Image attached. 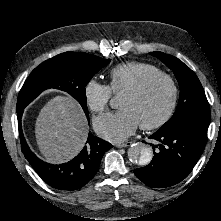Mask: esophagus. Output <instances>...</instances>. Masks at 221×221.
<instances>
[{
	"label": "esophagus",
	"instance_id": "1",
	"mask_svg": "<svg viewBox=\"0 0 221 221\" xmlns=\"http://www.w3.org/2000/svg\"><path fill=\"white\" fill-rule=\"evenodd\" d=\"M131 145H132V142H131V141H128V142H125V143L116 144L115 146H116L117 148H125V147L131 146Z\"/></svg>",
	"mask_w": 221,
	"mask_h": 221
}]
</instances>
